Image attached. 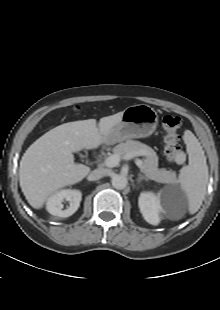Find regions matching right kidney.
I'll list each match as a JSON object with an SVG mask.
<instances>
[{"instance_id": "obj_1", "label": "right kidney", "mask_w": 220, "mask_h": 310, "mask_svg": "<svg viewBox=\"0 0 220 310\" xmlns=\"http://www.w3.org/2000/svg\"><path fill=\"white\" fill-rule=\"evenodd\" d=\"M82 194L79 190L63 189L52 194L46 203L47 211L54 216L69 217L80 206ZM68 201L69 206L63 210L62 202Z\"/></svg>"}]
</instances>
